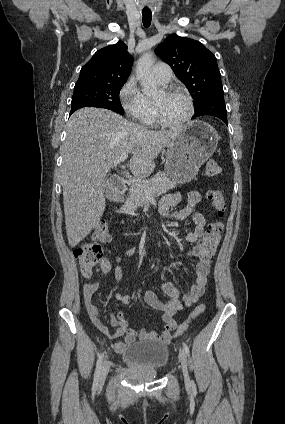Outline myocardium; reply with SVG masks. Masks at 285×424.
Wrapping results in <instances>:
<instances>
[{
    "mask_svg": "<svg viewBox=\"0 0 285 424\" xmlns=\"http://www.w3.org/2000/svg\"><path fill=\"white\" fill-rule=\"evenodd\" d=\"M164 93L166 95H181L183 96L188 103V114L186 115V117L179 121V122H168L167 120L164 119V117L162 116V113L160 111V108L158 106V104H156L155 102L153 103V107H154V115H155V119L156 121L163 127L166 128H171V129H179L184 127L185 125H187L190 120L193 118L194 113H195V107H194V102L193 99L191 97V95L189 93H187L186 91L179 89V88H167L164 90Z\"/></svg>",
    "mask_w": 285,
    "mask_h": 424,
    "instance_id": "f54148a6",
    "label": "myocardium"
}]
</instances>
